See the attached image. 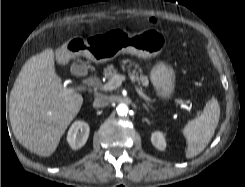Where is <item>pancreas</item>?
I'll use <instances>...</instances> for the list:
<instances>
[{"label": "pancreas", "mask_w": 245, "mask_h": 187, "mask_svg": "<svg viewBox=\"0 0 245 187\" xmlns=\"http://www.w3.org/2000/svg\"><path fill=\"white\" fill-rule=\"evenodd\" d=\"M138 68V65H135V70L133 71V75L131 77L134 78V81H144L145 83H147V77L145 75H143L140 71H136V69ZM104 72V76L106 79L111 80L112 77L117 74L116 69L114 68L113 65H108L106 68H104L103 70Z\"/></svg>", "instance_id": "obj_1"}]
</instances>
